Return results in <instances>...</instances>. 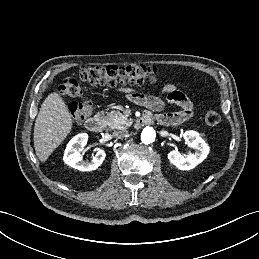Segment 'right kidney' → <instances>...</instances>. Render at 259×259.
Instances as JSON below:
<instances>
[{
	"label": "right kidney",
	"mask_w": 259,
	"mask_h": 259,
	"mask_svg": "<svg viewBox=\"0 0 259 259\" xmlns=\"http://www.w3.org/2000/svg\"><path fill=\"white\" fill-rule=\"evenodd\" d=\"M88 135L80 133L74 136L66 146L63 160L64 162L80 171H92L97 169L105 159L106 153L102 149H97L91 162L84 161L80 153L81 148L87 144Z\"/></svg>",
	"instance_id": "obj_1"
}]
</instances>
